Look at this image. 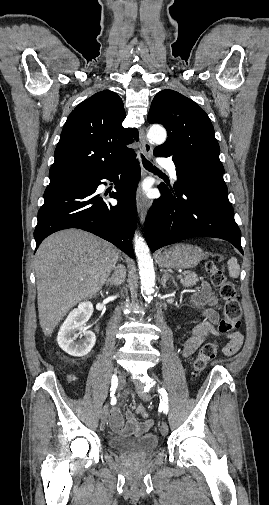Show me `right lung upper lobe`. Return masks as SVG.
Masks as SVG:
<instances>
[{
  "mask_svg": "<svg viewBox=\"0 0 269 505\" xmlns=\"http://www.w3.org/2000/svg\"><path fill=\"white\" fill-rule=\"evenodd\" d=\"M126 114L113 91L98 92L68 116L54 153L47 188L73 184L129 157L126 145L138 140L136 129L122 127Z\"/></svg>",
  "mask_w": 269,
  "mask_h": 505,
  "instance_id": "cb5924a9",
  "label": "right lung upper lobe"
}]
</instances>
